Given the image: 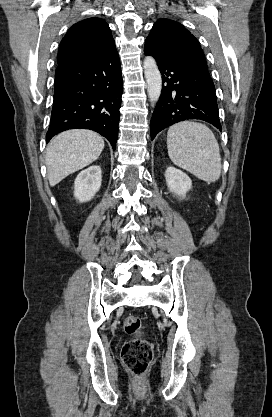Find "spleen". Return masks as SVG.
Wrapping results in <instances>:
<instances>
[{"label":"spleen","mask_w":272,"mask_h":417,"mask_svg":"<svg viewBox=\"0 0 272 417\" xmlns=\"http://www.w3.org/2000/svg\"><path fill=\"white\" fill-rule=\"evenodd\" d=\"M171 161L197 178L215 182L221 175V156L213 132L204 124L183 121L167 133Z\"/></svg>","instance_id":"1"}]
</instances>
